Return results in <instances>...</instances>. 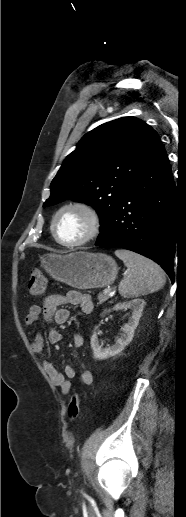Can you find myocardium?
<instances>
[{
    "label": "myocardium",
    "mask_w": 186,
    "mask_h": 517,
    "mask_svg": "<svg viewBox=\"0 0 186 517\" xmlns=\"http://www.w3.org/2000/svg\"><path fill=\"white\" fill-rule=\"evenodd\" d=\"M67 210H79L81 211L88 219L89 227L85 235H83L79 240L75 242H64L59 239L56 233V223L59 218V216L67 211ZM102 226L101 217L98 213V211L89 203L84 201H72L69 202L62 207H60L56 213L54 214L52 221H51V233L55 239V241L60 244L61 246L67 247V248H76L79 246H82L92 239H94L100 232Z\"/></svg>",
    "instance_id": "1"
}]
</instances>
